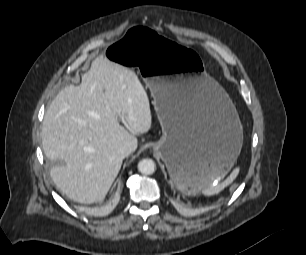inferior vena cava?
Returning <instances> with one entry per match:
<instances>
[{
    "instance_id": "1",
    "label": "inferior vena cava",
    "mask_w": 306,
    "mask_h": 255,
    "mask_svg": "<svg viewBox=\"0 0 306 255\" xmlns=\"http://www.w3.org/2000/svg\"><path fill=\"white\" fill-rule=\"evenodd\" d=\"M134 151L133 147L130 144H124L118 149V154L125 158L129 156Z\"/></svg>"
}]
</instances>
